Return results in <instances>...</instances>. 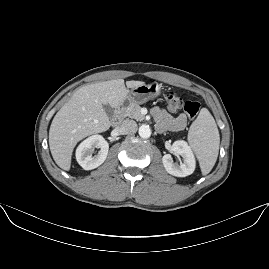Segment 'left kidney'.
Listing matches in <instances>:
<instances>
[{
    "instance_id": "left-kidney-1",
    "label": "left kidney",
    "mask_w": 269,
    "mask_h": 269,
    "mask_svg": "<svg viewBox=\"0 0 269 269\" xmlns=\"http://www.w3.org/2000/svg\"><path fill=\"white\" fill-rule=\"evenodd\" d=\"M170 151L183 158V163L177 164L173 162L170 154H165L162 158L163 165L166 171L177 177H186L192 174L195 170V157L187 142L183 140L175 141Z\"/></svg>"
}]
</instances>
